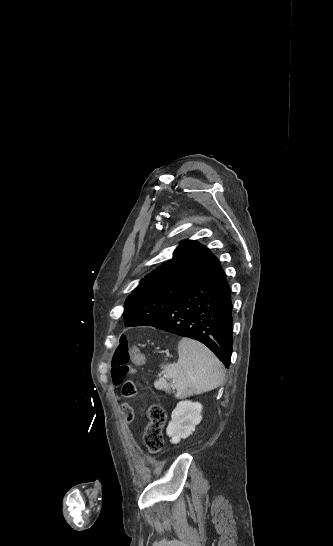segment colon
Wrapping results in <instances>:
<instances>
[{
    "mask_svg": "<svg viewBox=\"0 0 333 546\" xmlns=\"http://www.w3.org/2000/svg\"><path fill=\"white\" fill-rule=\"evenodd\" d=\"M131 345L125 337H122L116 347L112 358V380L115 385H122V397L132 400L137 396L139 383L134 380H126L129 374L135 373V368L130 362ZM149 423L144 431V440L149 452L159 455L164 446L165 439L163 429L167 420L166 412L158 405H152L147 410Z\"/></svg>",
    "mask_w": 333,
    "mask_h": 546,
    "instance_id": "colon-1",
    "label": "colon"
}]
</instances>
